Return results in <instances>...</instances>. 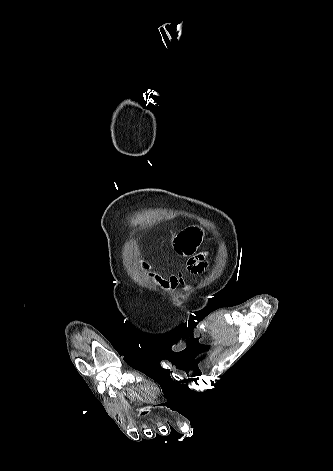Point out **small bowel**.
I'll return each mask as SVG.
<instances>
[{
  "label": "small bowel",
  "mask_w": 333,
  "mask_h": 471,
  "mask_svg": "<svg viewBox=\"0 0 333 471\" xmlns=\"http://www.w3.org/2000/svg\"><path fill=\"white\" fill-rule=\"evenodd\" d=\"M200 242L201 234L197 228L194 227L182 231L175 239L176 250L181 255L188 258L187 268L192 273H199L206 267L204 255L201 253H196ZM140 266L142 271L166 292H171L177 286L185 284L184 277L181 273L163 276L156 272L154 268L145 261H142Z\"/></svg>",
  "instance_id": "small-bowel-1"
}]
</instances>
